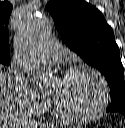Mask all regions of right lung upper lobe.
<instances>
[{
  "instance_id": "1",
  "label": "right lung upper lobe",
  "mask_w": 125,
  "mask_h": 128,
  "mask_svg": "<svg viewBox=\"0 0 125 128\" xmlns=\"http://www.w3.org/2000/svg\"><path fill=\"white\" fill-rule=\"evenodd\" d=\"M12 5L8 1L0 2V58L10 59L8 23Z\"/></svg>"
}]
</instances>
